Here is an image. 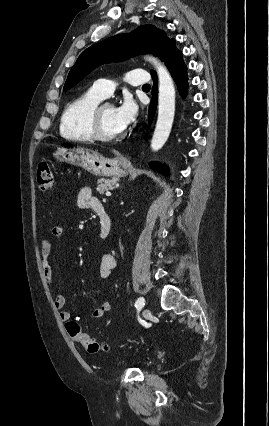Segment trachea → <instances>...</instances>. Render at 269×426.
<instances>
[{
	"mask_svg": "<svg viewBox=\"0 0 269 426\" xmlns=\"http://www.w3.org/2000/svg\"><path fill=\"white\" fill-rule=\"evenodd\" d=\"M143 88H150V85L149 84H145V85H143Z\"/></svg>",
	"mask_w": 269,
	"mask_h": 426,
	"instance_id": "trachea-1",
	"label": "trachea"
}]
</instances>
